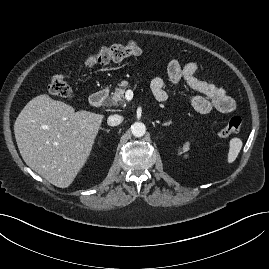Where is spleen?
<instances>
[{
	"instance_id": "spleen-1",
	"label": "spleen",
	"mask_w": 269,
	"mask_h": 269,
	"mask_svg": "<svg viewBox=\"0 0 269 269\" xmlns=\"http://www.w3.org/2000/svg\"><path fill=\"white\" fill-rule=\"evenodd\" d=\"M242 140L238 137H234L230 140L229 142V152H228V157H227V162L230 164V163H233L241 148H242Z\"/></svg>"
}]
</instances>
